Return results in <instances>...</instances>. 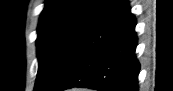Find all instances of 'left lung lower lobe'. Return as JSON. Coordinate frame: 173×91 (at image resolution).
I'll list each match as a JSON object with an SVG mask.
<instances>
[{
  "instance_id": "obj_1",
  "label": "left lung lower lobe",
  "mask_w": 173,
  "mask_h": 91,
  "mask_svg": "<svg viewBox=\"0 0 173 91\" xmlns=\"http://www.w3.org/2000/svg\"><path fill=\"white\" fill-rule=\"evenodd\" d=\"M136 19L127 0H115L74 52L51 91L85 87L137 91L140 63Z\"/></svg>"
}]
</instances>
